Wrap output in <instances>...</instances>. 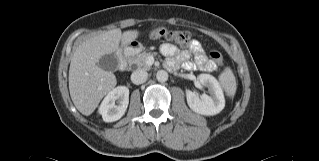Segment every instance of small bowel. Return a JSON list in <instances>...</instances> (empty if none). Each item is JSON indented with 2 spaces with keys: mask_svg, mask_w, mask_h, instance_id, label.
<instances>
[{
  "mask_svg": "<svg viewBox=\"0 0 319 161\" xmlns=\"http://www.w3.org/2000/svg\"><path fill=\"white\" fill-rule=\"evenodd\" d=\"M160 51L169 57L167 61L169 68H177L182 64L187 70L212 71L215 69L211 61L207 60L201 44L196 40L190 42L187 50L178 51L174 45L167 43L161 46ZM191 54L194 55V61H190Z\"/></svg>",
  "mask_w": 319,
  "mask_h": 161,
  "instance_id": "small-bowel-1",
  "label": "small bowel"
}]
</instances>
